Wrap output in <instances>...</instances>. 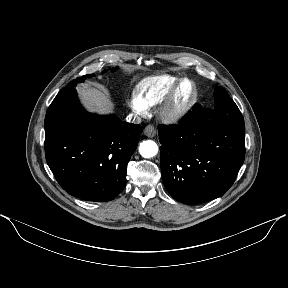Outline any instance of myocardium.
<instances>
[{
    "instance_id": "f54148a6",
    "label": "myocardium",
    "mask_w": 288,
    "mask_h": 288,
    "mask_svg": "<svg viewBox=\"0 0 288 288\" xmlns=\"http://www.w3.org/2000/svg\"><path fill=\"white\" fill-rule=\"evenodd\" d=\"M185 85L189 86V94L182 98L181 91ZM198 99V89L196 84L188 79L179 80L166 99L164 100L161 109V118L169 124H177L184 120L195 106Z\"/></svg>"
}]
</instances>
